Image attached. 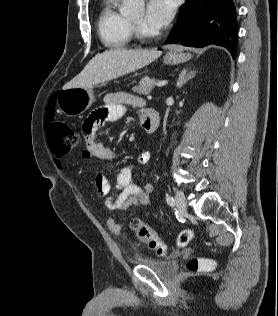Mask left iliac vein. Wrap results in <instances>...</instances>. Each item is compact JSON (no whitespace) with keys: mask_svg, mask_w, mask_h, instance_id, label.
I'll use <instances>...</instances> for the list:
<instances>
[{"mask_svg":"<svg viewBox=\"0 0 278 316\" xmlns=\"http://www.w3.org/2000/svg\"><path fill=\"white\" fill-rule=\"evenodd\" d=\"M175 202L178 211L181 214H185L187 212V203H186V198L183 192L177 191L175 194Z\"/></svg>","mask_w":278,"mask_h":316,"instance_id":"1","label":"left iliac vein"}]
</instances>
